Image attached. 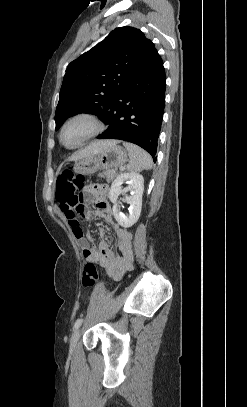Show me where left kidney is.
I'll return each instance as SVG.
<instances>
[{
	"mask_svg": "<svg viewBox=\"0 0 247 407\" xmlns=\"http://www.w3.org/2000/svg\"><path fill=\"white\" fill-rule=\"evenodd\" d=\"M123 183L128 185L124 189L121 186ZM143 191L144 178L138 173H123L113 181L109 191V199L113 203V215L122 227L129 228L138 221L142 208ZM122 192H130V195L125 198V201L130 204L128 216L118 209L117 198Z\"/></svg>",
	"mask_w": 247,
	"mask_h": 407,
	"instance_id": "1",
	"label": "left kidney"
}]
</instances>
